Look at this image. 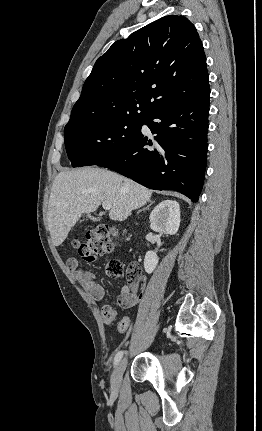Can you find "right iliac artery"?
Returning <instances> with one entry per match:
<instances>
[{
	"instance_id": "82829eb1",
	"label": "right iliac artery",
	"mask_w": 262,
	"mask_h": 431,
	"mask_svg": "<svg viewBox=\"0 0 262 431\" xmlns=\"http://www.w3.org/2000/svg\"><path fill=\"white\" fill-rule=\"evenodd\" d=\"M124 352L123 351H119L114 358V365L116 366L119 361L121 360V358L123 357Z\"/></svg>"
}]
</instances>
